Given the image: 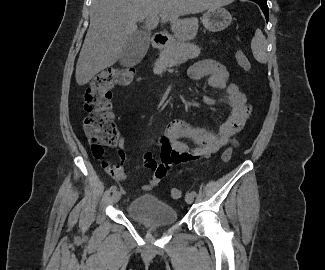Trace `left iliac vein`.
<instances>
[{
  "mask_svg": "<svg viewBox=\"0 0 325 270\" xmlns=\"http://www.w3.org/2000/svg\"><path fill=\"white\" fill-rule=\"evenodd\" d=\"M185 200L188 204H192L194 201V196L191 193H187L185 196Z\"/></svg>",
  "mask_w": 325,
  "mask_h": 270,
  "instance_id": "obj_1",
  "label": "left iliac vein"
}]
</instances>
